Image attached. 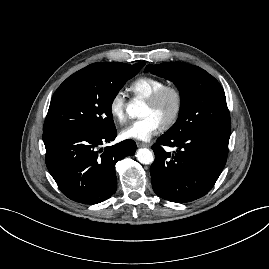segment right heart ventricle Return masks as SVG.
I'll use <instances>...</instances> for the list:
<instances>
[{
	"mask_svg": "<svg viewBox=\"0 0 269 269\" xmlns=\"http://www.w3.org/2000/svg\"><path fill=\"white\" fill-rule=\"evenodd\" d=\"M163 85L164 82L161 79H158L153 76L144 75L133 80L129 84L128 90L134 96L145 99Z\"/></svg>",
	"mask_w": 269,
	"mask_h": 269,
	"instance_id": "1",
	"label": "right heart ventricle"
}]
</instances>
